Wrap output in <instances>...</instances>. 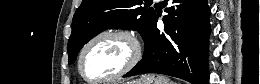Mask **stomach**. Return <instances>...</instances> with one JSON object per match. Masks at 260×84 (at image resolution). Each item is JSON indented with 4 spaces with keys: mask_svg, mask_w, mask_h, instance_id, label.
Masks as SVG:
<instances>
[{
    "mask_svg": "<svg viewBox=\"0 0 260 84\" xmlns=\"http://www.w3.org/2000/svg\"><path fill=\"white\" fill-rule=\"evenodd\" d=\"M125 84H172L170 79L161 74H147L138 80L126 82Z\"/></svg>",
    "mask_w": 260,
    "mask_h": 84,
    "instance_id": "1",
    "label": "stomach"
}]
</instances>
